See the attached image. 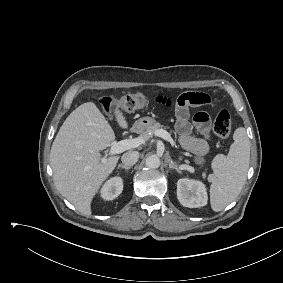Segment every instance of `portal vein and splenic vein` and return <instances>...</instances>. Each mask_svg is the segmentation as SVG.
Instances as JSON below:
<instances>
[{"instance_id":"18ae733b","label":"portal vein and splenic vein","mask_w":283,"mask_h":283,"mask_svg":"<svg viewBox=\"0 0 283 283\" xmlns=\"http://www.w3.org/2000/svg\"><path fill=\"white\" fill-rule=\"evenodd\" d=\"M155 135L158 137L163 138L164 140L173 143V139L170 136V134L163 129H158L155 132ZM145 142V140L141 137L139 138H134V139H125L119 142H113L111 145V149L109 151L108 154H106V156L108 155H115V154H120L128 149H132V148H136L138 146H140L141 144H143Z\"/></svg>"}]
</instances>
